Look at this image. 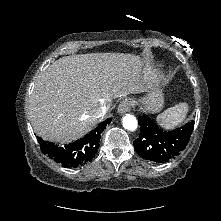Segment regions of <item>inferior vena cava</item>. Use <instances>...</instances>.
Wrapping results in <instances>:
<instances>
[{"label": "inferior vena cava", "mask_w": 221, "mask_h": 221, "mask_svg": "<svg viewBox=\"0 0 221 221\" xmlns=\"http://www.w3.org/2000/svg\"><path fill=\"white\" fill-rule=\"evenodd\" d=\"M106 112H107V106H102V107H100V108H97L96 110H95V115L98 117V118H100V117H103L105 114H106Z\"/></svg>", "instance_id": "602c4592"}]
</instances>
